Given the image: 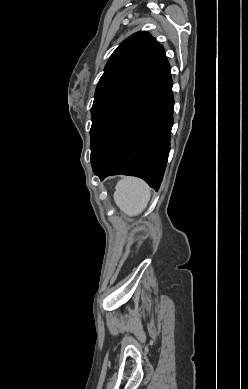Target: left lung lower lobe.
I'll return each instance as SVG.
<instances>
[{"instance_id": "1", "label": "left lung lower lobe", "mask_w": 248, "mask_h": 389, "mask_svg": "<svg viewBox=\"0 0 248 389\" xmlns=\"http://www.w3.org/2000/svg\"><path fill=\"white\" fill-rule=\"evenodd\" d=\"M174 98L165 52L95 119L92 128L103 146L91 153L101 180L125 174L158 190L170 150Z\"/></svg>"}]
</instances>
